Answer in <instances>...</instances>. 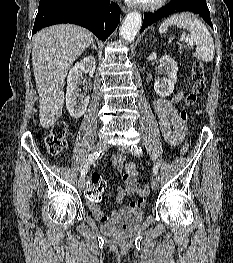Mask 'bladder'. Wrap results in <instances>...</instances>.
Returning <instances> with one entry per match:
<instances>
[{
  "label": "bladder",
  "instance_id": "31cf9c89",
  "mask_svg": "<svg viewBox=\"0 0 233 263\" xmlns=\"http://www.w3.org/2000/svg\"><path fill=\"white\" fill-rule=\"evenodd\" d=\"M145 213L140 209L122 208L108 221L100 224L101 232L115 238H125L136 232L144 221Z\"/></svg>",
  "mask_w": 233,
  "mask_h": 263
}]
</instances>
